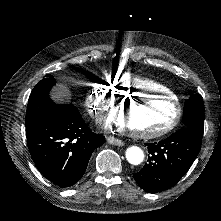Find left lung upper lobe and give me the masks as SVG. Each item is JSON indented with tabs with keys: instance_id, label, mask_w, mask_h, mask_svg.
Returning a JSON list of instances; mask_svg holds the SVG:
<instances>
[{
	"instance_id": "obj_1",
	"label": "left lung upper lobe",
	"mask_w": 221,
	"mask_h": 221,
	"mask_svg": "<svg viewBox=\"0 0 221 221\" xmlns=\"http://www.w3.org/2000/svg\"><path fill=\"white\" fill-rule=\"evenodd\" d=\"M184 127L193 128L203 133L204 130V102L200 94H192L190 99L185 102Z\"/></svg>"
}]
</instances>
